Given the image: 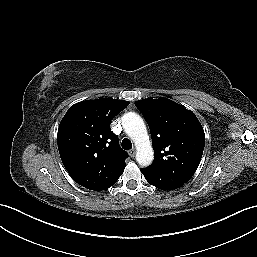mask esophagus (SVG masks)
<instances>
[{
	"instance_id": "34e87169",
	"label": "esophagus",
	"mask_w": 257,
	"mask_h": 257,
	"mask_svg": "<svg viewBox=\"0 0 257 257\" xmlns=\"http://www.w3.org/2000/svg\"><path fill=\"white\" fill-rule=\"evenodd\" d=\"M135 153H136L135 149H131V150L128 151V154H129L130 157H132V158L135 156Z\"/></svg>"
}]
</instances>
